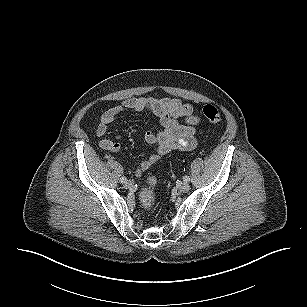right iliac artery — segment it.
<instances>
[{"instance_id":"obj_1","label":"right iliac artery","mask_w":307,"mask_h":307,"mask_svg":"<svg viewBox=\"0 0 307 307\" xmlns=\"http://www.w3.org/2000/svg\"><path fill=\"white\" fill-rule=\"evenodd\" d=\"M126 181H127V178H126V177L123 176V177L120 178V182H121V183H125Z\"/></svg>"}]
</instances>
